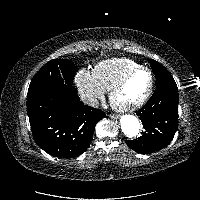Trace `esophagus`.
Instances as JSON below:
<instances>
[{
  "instance_id": "1",
  "label": "esophagus",
  "mask_w": 200,
  "mask_h": 200,
  "mask_svg": "<svg viewBox=\"0 0 200 200\" xmlns=\"http://www.w3.org/2000/svg\"><path fill=\"white\" fill-rule=\"evenodd\" d=\"M110 117L112 119H119V115H117V114H111Z\"/></svg>"
}]
</instances>
